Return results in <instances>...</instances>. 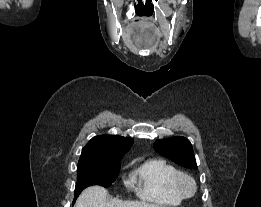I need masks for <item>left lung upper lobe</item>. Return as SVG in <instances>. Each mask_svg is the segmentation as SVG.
Masks as SVG:
<instances>
[{"mask_svg":"<svg viewBox=\"0 0 261 207\" xmlns=\"http://www.w3.org/2000/svg\"><path fill=\"white\" fill-rule=\"evenodd\" d=\"M156 152L187 168H197L190 141L181 136L160 139L154 143Z\"/></svg>","mask_w":261,"mask_h":207,"instance_id":"left-lung-upper-lobe-1","label":"left lung upper lobe"}]
</instances>
